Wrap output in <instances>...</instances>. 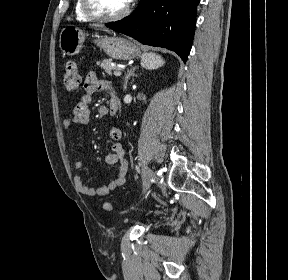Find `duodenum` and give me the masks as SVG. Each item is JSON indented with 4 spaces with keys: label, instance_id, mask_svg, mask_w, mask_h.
I'll return each mask as SVG.
<instances>
[{
    "label": "duodenum",
    "instance_id": "obj_1",
    "mask_svg": "<svg viewBox=\"0 0 288 280\" xmlns=\"http://www.w3.org/2000/svg\"><path fill=\"white\" fill-rule=\"evenodd\" d=\"M118 111V102L116 98H112L109 103V113L114 115Z\"/></svg>",
    "mask_w": 288,
    "mask_h": 280
}]
</instances>
